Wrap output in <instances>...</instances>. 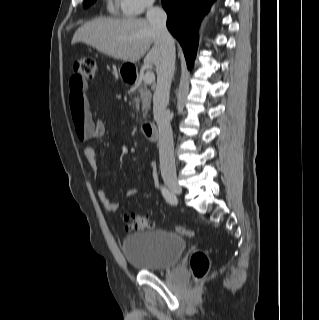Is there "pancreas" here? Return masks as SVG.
Listing matches in <instances>:
<instances>
[{"label":"pancreas","mask_w":319,"mask_h":320,"mask_svg":"<svg viewBox=\"0 0 319 320\" xmlns=\"http://www.w3.org/2000/svg\"><path fill=\"white\" fill-rule=\"evenodd\" d=\"M130 92L133 94L132 97L136 112L138 113L141 104L143 118H146L150 109L152 96L147 85H142L140 82H138L130 89Z\"/></svg>","instance_id":"pancreas-1"}]
</instances>
